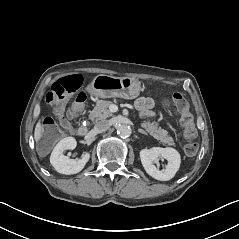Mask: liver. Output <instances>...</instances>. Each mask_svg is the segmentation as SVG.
Returning a JSON list of instances; mask_svg holds the SVG:
<instances>
[{
	"label": "liver",
	"mask_w": 239,
	"mask_h": 239,
	"mask_svg": "<svg viewBox=\"0 0 239 239\" xmlns=\"http://www.w3.org/2000/svg\"><path fill=\"white\" fill-rule=\"evenodd\" d=\"M43 137V124H42V117L38 119V122L34 129V141L38 143Z\"/></svg>",
	"instance_id": "1"
}]
</instances>
